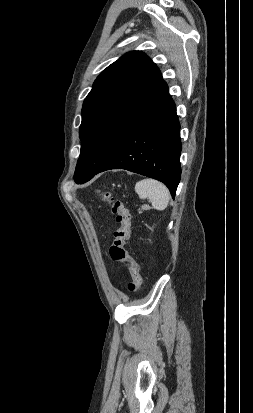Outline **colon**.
<instances>
[{
	"mask_svg": "<svg viewBox=\"0 0 253 413\" xmlns=\"http://www.w3.org/2000/svg\"><path fill=\"white\" fill-rule=\"evenodd\" d=\"M99 196L111 207L115 220L119 225L114 232V240L109 248V255L113 261L123 262L128 266L132 281L128 284L130 292H139L142 287V276L139 264L128 254L125 249L130 238L131 215L124 203L108 192L98 191Z\"/></svg>",
	"mask_w": 253,
	"mask_h": 413,
	"instance_id": "obj_1",
	"label": "colon"
}]
</instances>
